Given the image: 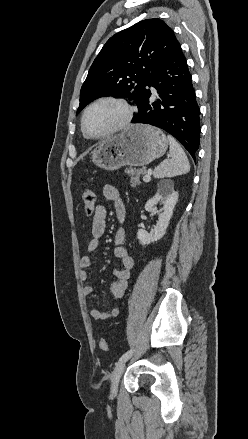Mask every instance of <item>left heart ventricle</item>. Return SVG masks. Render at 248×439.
Segmentation results:
<instances>
[{
	"mask_svg": "<svg viewBox=\"0 0 248 439\" xmlns=\"http://www.w3.org/2000/svg\"><path fill=\"white\" fill-rule=\"evenodd\" d=\"M124 110L116 103L103 102L94 106L85 120L86 130L93 135L105 133L121 123Z\"/></svg>",
	"mask_w": 248,
	"mask_h": 439,
	"instance_id": "1",
	"label": "left heart ventricle"
}]
</instances>
